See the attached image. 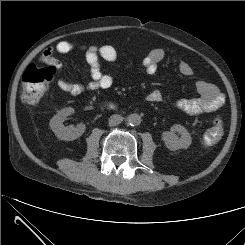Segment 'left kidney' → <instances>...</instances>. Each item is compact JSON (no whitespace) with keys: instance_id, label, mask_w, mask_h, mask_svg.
Listing matches in <instances>:
<instances>
[{"instance_id":"1","label":"left kidney","mask_w":245,"mask_h":245,"mask_svg":"<svg viewBox=\"0 0 245 245\" xmlns=\"http://www.w3.org/2000/svg\"><path fill=\"white\" fill-rule=\"evenodd\" d=\"M175 132H178L181 137L179 138ZM163 141L165 142V145L168 149L178 150L181 148L189 147L192 143V138L184 126L175 124L172 126L171 131L163 133Z\"/></svg>"}]
</instances>
